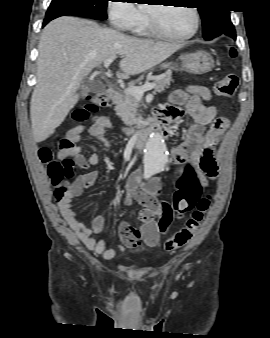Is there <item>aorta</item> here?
Segmentation results:
<instances>
[{
    "label": "aorta",
    "mask_w": 270,
    "mask_h": 338,
    "mask_svg": "<svg viewBox=\"0 0 270 338\" xmlns=\"http://www.w3.org/2000/svg\"><path fill=\"white\" fill-rule=\"evenodd\" d=\"M167 162V150L162 135L159 133L151 134L146 143L144 154L145 177H150L163 171Z\"/></svg>",
    "instance_id": "obj_1"
}]
</instances>
